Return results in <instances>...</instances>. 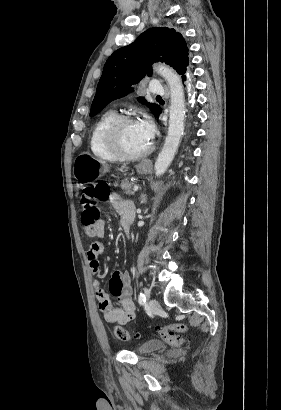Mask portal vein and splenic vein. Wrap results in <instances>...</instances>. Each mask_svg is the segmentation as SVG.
<instances>
[{"label":"portal vein and splenic vein","mask_w":281,"mask_h":410,"mask_svg":"<svg viewBox=\"0 0 281 410\" xmlns=\"http://www.w3.org/2000/svg\"><path fill=\"white\" fill-rule=\"evenodd\" d=\"M139 189V186L138 185H135L134 187H133V191H137Z\"/></svg>","instance_id":"1"}]
</instances>
